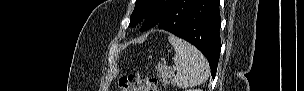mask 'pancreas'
I'll use <instances>...</instances> for the list:
<instances>
[{
    "label": "pancreas",
    "mask_w": 304,
    "mask_h": 91,
    "mask_svg": "<svg viewBox=\"0 0 304 91\" xmlns=\"http://www.w3.org/2000/svg\"><path fill=\"white\" fill-rule=\"evenodd\" d=\"M158 76L162 79L164 85L168 84V78L172 75V70L166 66L159 64L157 68Z\"/></svg>",
    "instance_id": "pancreas-1"
}]
</instances>
